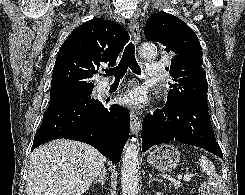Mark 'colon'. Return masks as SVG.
Here are the masks:
<instances>
[{
	"label": "colon",
	"mask_w": 245,
	"mask_h": 195,
	"mask_svg": "<svg viewBox=\"0 0 245 195\" xmlns=\"http://www.w3.org/2000/svg\"><path fill=\"white\" fill-rule=\"evenodd\" d=\"M220 190V181L215 177L206 178L200 185V195H218Z\"/></svg>",
	"instance_id": "colon-1"
}]
</instances>
